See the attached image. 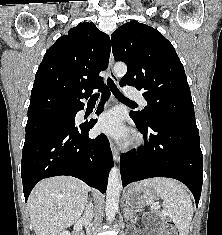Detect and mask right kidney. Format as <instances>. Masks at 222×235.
I'll return each mask as SVG.
<instances>
[{"label":"right kidney","instance_id":"ca27d5eb","mask_svg":"<svg viewBox=\"0 0 222 235\" xmlns=\"http://www.w3.org/2000/svg\"><path fill=\"white\" fill-rule=\"evenodd\" d=\"M59 235H70L69 231H63Z\"/></svg>","mask_w":222,"mask_h":235}]
</instances>
